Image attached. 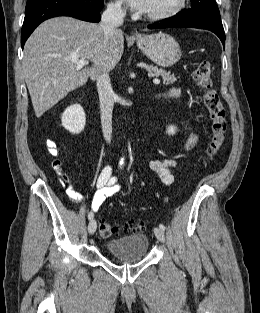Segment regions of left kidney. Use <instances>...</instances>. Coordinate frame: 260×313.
Segmentation results:
<instances>
[{
    "instance_id": "5707ae66",
    "label": "left kidney",
    "mask_w": 260,
    "mask_h": 313,
    "mask_svg": "<svg viewBox=\"0 0 260 313\" xmlns=\"http://www.w3.org/2000/svg\"><path fill=\"white\" fill-rule=\"evenodd\" d=\"M175 132H176V127H175V126H169V127H168L167 133H168L169 135H173V134H175Z\"/></svg>"
}]
</instances>
